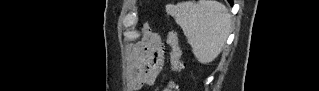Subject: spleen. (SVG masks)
<instances>
[{
  "label": "spleen",
  "mask_w": 319,
  "mask_h": 91,
  "mask_svg": "<svg viewBox=\"0 0 319 91\" xmlns=\"http://www.w3.org/2000/svg\"><path fill=\"white\" fill-rule=\"evenodd\" d=\"M166 12L181 27L200 63L208 64L217 58L231 31V15L224 4L186 1L167 5Z\"/></svg>",
  "instance_id": "3e777b00"
}]
</instances>
